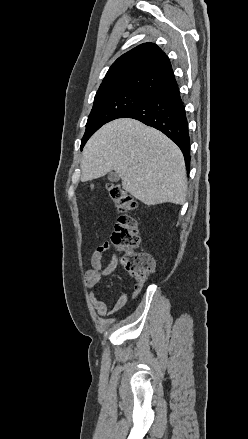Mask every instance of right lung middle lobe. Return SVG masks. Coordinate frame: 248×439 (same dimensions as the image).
Instances as JSON below:
<instances>
[{"label": "right lung middle lobe", "instance_id": "right-lung-middle-lobe-1", "mask_svg": "<svg viewBox=\"0 0 248 439\" xmlns=\"http://www.w3.org/2000/svg\"><path fill=\"white\" fill-rule=\"evenodd\" d=\"M148 97L147 94L143 93L122 91L95 98L86 124V131L81 141V149L91 135L102 125L120 118Z\"/></svg>", "mask_w": 248, "mask_h": 439}]
</instances>
